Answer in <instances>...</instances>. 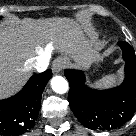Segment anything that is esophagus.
I'll return each mask as SVG.
<instances>
[{
	"instance_id": "obj_1",
	"label": "esophagus",
	"mask_w": 136,
	"mask_h": 136,
	"mask_svg": "<svg viewBox=\"0 0 136 136\" xmlns=\"http://www.w3.org/2000/svg\"><path fill=\"white\" fill-rule=\"evenodd\" d=\"M65 66V60L63 58H57L52 64V70L55 74H59Z\"/></svg>"
}]
</instances>
